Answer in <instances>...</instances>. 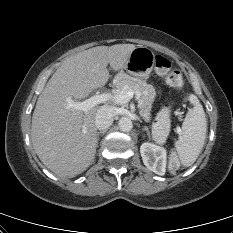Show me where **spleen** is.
<instances>
[{"mask_svg": "<svg viewBox=\"0 0 233 233\" xmlns=\"http://www.w3.org/2000/svg\"><path fill=\"white\" fill-rule=\"evenodd\" d=\"M189 100L193 107L188 109L182 124V136L175 142L178 156L172 157L171 165L180 160L182 165L191 166L200 155L205 143L207 121L203 106L195 95H191Z\"/></svg>", "mask_w": 233, "mask_h": 233, "instance_id": "1", "label": "spleen"}]
</instances>
